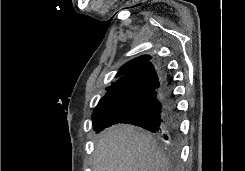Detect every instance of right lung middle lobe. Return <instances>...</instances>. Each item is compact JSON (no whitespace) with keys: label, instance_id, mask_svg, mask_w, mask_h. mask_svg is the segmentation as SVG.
<instances>
[{"label":"right lung middle lobe","instance_id":"obj_1","mask_svg":"<svg viewBox=\"0 0 245 171\" xmlns=\"http://www.w3.org/2000/svg\"><path fill=\"white\" fill-rule=\"evenodd\" d=\"M120 102L121 100L116 99L98 103L92 115L94 129L98 127V125L103 121L107 114L111 110H113Z\"/></svg>","mask_w":245,"mask_h":171}]
</instances>
